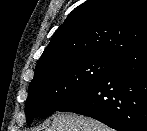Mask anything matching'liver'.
I'll return each mask as SVG.
<instances>
[{
    "label": "liver",
    "instance_id": "liver-1",
    "mask_svg": "<svg viewBox=\"0 0 147 131\" xmlns=\"http://www.w3.org/2000/svg\"><path fill=\"white\" fill-rule=\"evenodd\" d=\"M52 119L46 131H111L101 122L82 115L58 112Z\"/></svg>",
    "mask_w": 147,
    "mask_h": 131
}]
</instances>
